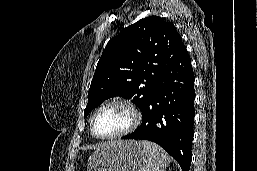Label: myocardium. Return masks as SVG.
<instances>
[{"label":"myocardium","instance_id":"f54148a6","mask_svg":"<svg viewBox=\"0 0 257 171\" xmlns=\"http://www.w3.org/2000/svg\"><path fill=\"white\" fill-rule=\"evenodd\" d=\"M110 106H122V107L126 108L132 115V121L127 128H125L124 130H122L116 134L108 135V136L98 135L95 132V128H94L95 118L100 111H102L103 109L110 107ZM141 121H142V114H141L140 110L138 109V107L132 101H130L128 99H122V98L113 99L108 102H105L104 104L99 106L94 111V113L92 114L91 120H90V131H91V134L98 139L113 140V139H118V138L124 137V136L132 133L133 131H135L138 128V126L140 125Z\"/></svg>","mask_w":257,"mask_h":171}]
</instances>
